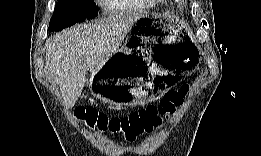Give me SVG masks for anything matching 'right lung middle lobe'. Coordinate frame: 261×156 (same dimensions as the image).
Returning a JSON list of instances; mask_svg holds the SVG:
<instances>
[{
    "label": "right lung middle lobe",
    "instance_id": "right-lung-middle-lobe-1",
    "mask_svg": "<svg viewBox=\"0 0 261 156\" xmlns=\"http://www.w3.org/2000/svg\"><path fill=\"white\" fill-rule=\"evenodd\" d=\"M97 15V6L91 0H58L48 30L60 31Z\"/></svg>",
    "mask_w": 261,
    "mask_h": 156
}]
</instances>
